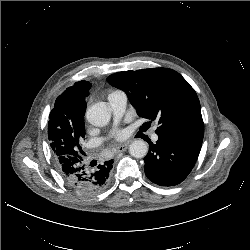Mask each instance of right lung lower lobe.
I'll use <instances>...</instances> for the list:
<instances>
[{"mask_svg":"<svg viewBox=\"0 0 250 250\" xmlns=\"http://www.w3.org/2000/svg\"><path fill=\"white\" fill-rule=\"evenodd\" d=\"M61 156L56 160L58 172L64 180L79 193L90 196L102 191L109 182L113 160L90 169L83 165V159Z\"/></svg>","mask_w":250,"mask_h":250,"instance_id":"98d812e1","label":"right lung lower lobe"}]
</instances>
